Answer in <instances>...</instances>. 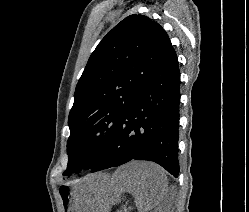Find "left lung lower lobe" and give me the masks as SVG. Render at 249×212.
I'll return each instance as SVG.
<instances>
[{
  "label": "left lung lower lobe",
  "instance_id": "0a47b994",
  "mask_svg": "<svg viewBox=\"0 0 249 212\" xmlns=\"http://www.w3.org/2000/svg\"><path fill=\"white\" fill-rule=\"evenodd\" d=\"M180 72L171 47L131 100L116 126L113 142L91 172L131 160L153 161L179 174L178 127Z\"/></svg>",
  "mask_w": 249,
  "mask_h": 212
}]
</instances>
